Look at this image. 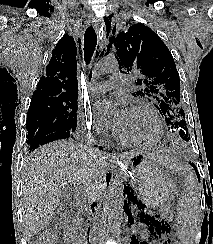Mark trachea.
Wrapping results in <instances>:
<instances>
[{
    "mask_svg": "<svg viewBox=\"0 0 213 244\" xmlns=\"http://www.w3.org/2000/svg\"><path fill=\"white\" fill-rule=\"evenodd\" d=\"M97 45V35L92 26L88 27L84 34V57L86 64H89Z\"/></svg>",
    "mask_w": 213,
    "mask_h": 244,
    "instance_id": "1",
    "label": "trachea"
}]
</instances>
